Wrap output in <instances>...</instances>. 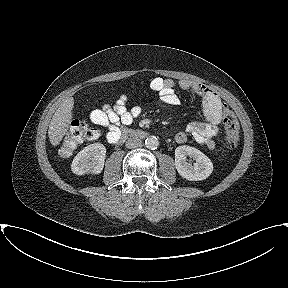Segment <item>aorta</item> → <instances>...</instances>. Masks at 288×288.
I'll list each match as a JSON object with an SVG mask.
<instances>
[{
    "instance_id": "762f6f07",
    "label": "aorta",
    "mask_w": 288,
    "mask_h": 288,
    "mask_svg": "<svg viewBox=\"0 0 288 288\" xmlns=\"http://www.w3.org/2000/svg\"><path fill=\"white\" fill-rule=\"evenodd\" d=\"M145 145L149 149H156L159 146V141L155 136H149L145 140Z\"/></svg>"
}]
</instances>
